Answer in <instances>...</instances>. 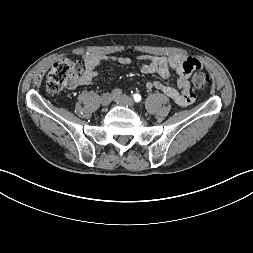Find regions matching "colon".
Masks as SVG:
<instances>
[{
    "label": "colon",
    "mask_w": 253,
    "mask_h": 253,
    "mask_svg": "<svg viewBox=\"0 0 253 253\" xmlns=\"http://www.w3.org/2000/svg\"><path fill=\"white\" fill-rule=\"evenodd\" d=\"M189 67L192 68V84L196 89L204 90L207 88L210 78L203 71L201 63L196 59H190ZM83 72L80 61L71 58L59 59L50 70L46 90L49 94H58L70 85Z\"/></svg>",
    "instance_id": "obj_1"
}]
</instances>
